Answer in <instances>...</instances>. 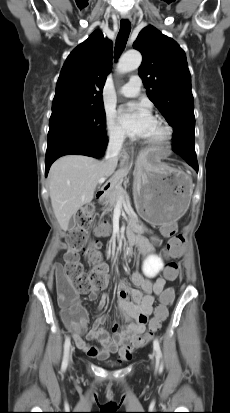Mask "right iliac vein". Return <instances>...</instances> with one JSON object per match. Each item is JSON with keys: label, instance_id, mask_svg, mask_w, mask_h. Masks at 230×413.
Listing matches in <instances>:
<instances>
[{"label": "right iliac vein", "instance_id": "1", "mask_svg": "<svg viewBox=\"0 0 230 413\" xmlns=\"http://www.w3.org/2000/svg\"><path fill=\"white\" fill-rule=\"evenodd\" d=\"M72 352H73V348L70 349L69 354H68L69 362L72 361Z\"/></svg>", "mask_w": 230, "mask_h": 413}]
</instances>
